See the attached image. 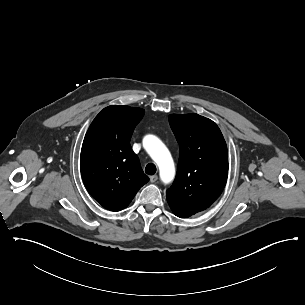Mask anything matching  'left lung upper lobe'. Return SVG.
<instances>
[{
	"mask_svg": "<svg viewBox=\"0 0 305 305\" xmlns=\"http://www.w3.org/2000/svg\"><path fill=\"white\" fill-rule=\"evenodd\" d=\"M169 123L180 156L167 201L172 210L191 216L210 207L222 193L228 176L227 146L216 123L198 114H171Z\"/></svg>",
	"mask_w": 305,
	"mask_h": 305,
	"instance_id": "left-lung-upper-lobe-1",
	"label": "left lung upper lobe"
}]
</instances>
